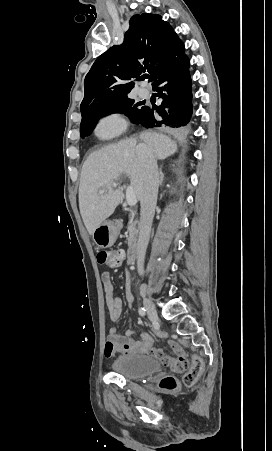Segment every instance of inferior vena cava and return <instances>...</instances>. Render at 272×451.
Instances as JSON below:
<instances>
[{"instance_id":"obj_1","label":"inferior vena cava","mask_w":272,"mask_h":451,"mask_svg":"<svg viewBox=\"0 0 272 451\" xmlns=\"http://www.w3.org/2000/svg\"><path fill=\"white\" fill-rule=\"evenodd\" d=\"M138 156L144 168L143 190L140 198L141 218L137 243V269L139 275L144 273L145 253L150 237L151 226L157 202L159 174L157 160L146 144H139Z\"/></svg>"}]
</instances>
